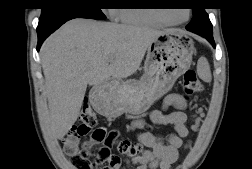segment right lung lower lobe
<instances>
[{
  "instance_id": "1",
  "label": "right lung lower lobe",
  "mask_w": 252,
  "mask_h": 169,
  "mask_svg": "<svg viewBox=\"0 0 252 169\" xmlns=\"http://www.w3.org/2000/svg\"><path fill=\"white\" fill-rule=\"evenodd\" d=\"M74 18H83L78 16H65L53 19L49 22L39 24L37 27V34H38V46L37 50H39L40 46L42 45L43 41L55 30H57L61 25H63L66 21H69Z\"/></svg>"
}]
</instances>
